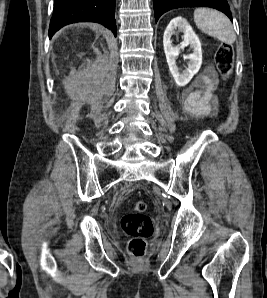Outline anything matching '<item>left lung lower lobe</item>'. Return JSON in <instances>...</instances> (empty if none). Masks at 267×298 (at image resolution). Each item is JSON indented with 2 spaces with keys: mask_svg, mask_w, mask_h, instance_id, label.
<instances>
[{
  "mask_svg": "<svg viewBox=\"0 0 267 298\" xmlns=\"http://www.w3.org/2000/svg\"><path fill=\"white\" fill-rule=\"evenodd\" d=\"M155 21L171 10L181 7H212L225 13L232 21L227 0H153Z\"/></svg>",
  "mask_w": 267,
  "mask_h": 298,
  "instance_id": "obj_1",
  "label": "left lung lower lobe"
}]
</instances>
